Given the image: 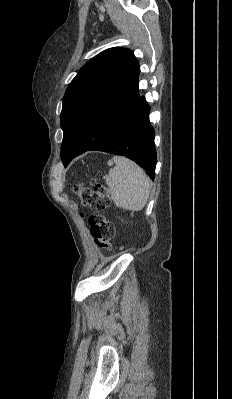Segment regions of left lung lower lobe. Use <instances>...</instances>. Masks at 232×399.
<instances>
[{
	"label": "left lung lower lobe",
	"mask_w": 232,
	"mask_h": 399,
	"mask_svg": "<svg viewBox=\"0 0 232 399\" xmlns=\"http://www.w3.org/2000/svg\"><path fill=\"white\" fill-rule=\"evenodd\" d=\"M150 107L144 96L136 100L112 130L90 150L125 156L140 165L153 180L157 163L155 132L149 121Z\"/></svg>",
	"instance_id": "0a47b994"
}]
</instances>
